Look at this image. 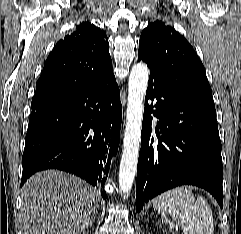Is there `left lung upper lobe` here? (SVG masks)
Instances as JSON below:
<instances>
[{"label": "left lung upper lobe", "instance_id": "1", "mask_svg": "<svg viewBox=\"0 0 241 234\" xmlns=\"http://www.w3.org/2000/svg\"><path fill=\"white\" fill-rule=\"evenodd\" d=\"M138 59L170 79L212 94L205 69L193 47L161 21L150 23L142 31Z\"/></svg>", "mask_w": 241, "mask_h": 234}]
</instances>
